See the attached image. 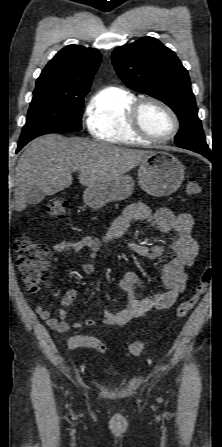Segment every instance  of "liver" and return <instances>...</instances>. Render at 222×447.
<instances>
[{
  "label": "liver",
  "instance_id": "liver-1",
  "mask_svg": "<svg viewBox=\"0 0 222 447\" xmlns=\"http://www.w3.org/2000/svg\"><path fill=\"white\" fill-rule=\"evenodd\" d=\"M153 153L58 134L38 137L25 148L16 166L15 210L23 211L37 192L54 195L68 188L76 170L83 186H100L124 175Z\"/></svg>",
  "mask_w": 222,
  "mask_h": 447
}]
</instances>
